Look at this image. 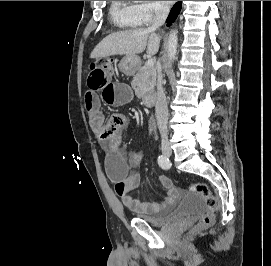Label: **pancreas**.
<instances>
[{
    "label": "pancreas",
    "instance_id": "1",
    "mask_svg": "<svg viewBox=\"0 0 271 266\" xmlns=\"http://www.w3.org/2000/svg\"><path fill=\"white\" fill-rule=\"evenodd\" d=\"M131 85L138 98L144 97L148 92H152L156 85V68L147 64L140 67L135 74Z\"/></svg>",
    "mask_w": 271,
    "mask_h": 266
}]
</instances>
